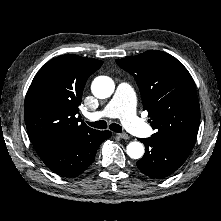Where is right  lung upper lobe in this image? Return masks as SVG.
Returning a JSON list of instances; mask_svg holds the SVG:
<instances>
[{
    "label": "right lung upper lobe",
    "mask_w": 221,
    "mask_h": 221,
    "mask_svg": "<svg viewBox=\"0 0 221 221\" xmlns=\"http://www.w3.org/2000/svg\"><path fill=\"white\" fill-rule=\"evenodd\" d=\"M102 64L68 54L50 60L38 71L25 97L24 117L30 140L94 131L77 117L78 106L88 77Z\"/></svg>",
    "instance_id": "obj_1"
}]
</instances>
